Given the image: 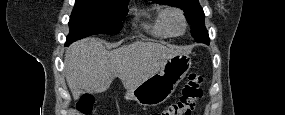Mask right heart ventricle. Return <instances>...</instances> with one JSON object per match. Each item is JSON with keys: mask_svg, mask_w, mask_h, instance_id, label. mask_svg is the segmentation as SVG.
I'll return each mask as SVG.
<instances>
[{"mask_svg": "<svg viewBox=\"0 0 285 115\" xmlns=\"http://www.w3.org/2000/svg\"><path fill=\"white\" fill-rule=\"evenodd\" d=\"M162 12L157 11L151 20L144 24V27L149 30L152 34L161 37V38H168L172 35L167 31L165 28L163 21H162Z\"/></svg>", "mask_w": 285, "mask_h": 115, "instance_id": "e07e8e85", "label": "right heart ventricle"}]
</instances>
